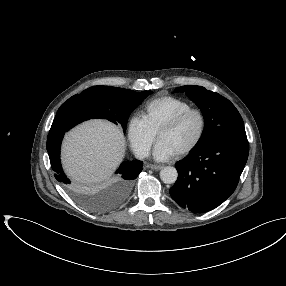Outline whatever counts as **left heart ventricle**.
Masks as SVG:
<instances>
[{"mask_svg":"<svg viewBox=\"0 0 286 286\" xmlns=\"http://www.w3.org/2000/svg\"><path fill=\"white\" fill-rule=\"evenodd\" d=\"M200 129V119L197 114H190L176 127L164 131L159 140L165 141L176 152L193 142Z\"/></svg>","mask_w":286,"mask_h":286,"instance_id":"b2bd125f","label":"left heart ventricle"}]
</instances>
